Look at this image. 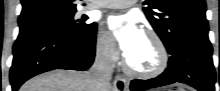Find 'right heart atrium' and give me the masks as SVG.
<instances>
[{
  "instance_id": "d8ad5b80",
  "label": "right heart atrium",
  "mask_w": 220,
  "mask_h": 91,
  "mask_svg": "<svg viewBox=\"0 0 220 91\" xmlns=\"http://www.w3.org/2000/svg\"><path fill=\"white\" fill-rule=\"evenodd\" d=\"M97 57L106 64H113L117 59V50L112 38L105 32L99 31L95 39Z\"/></svg>"
}]
</instances>
